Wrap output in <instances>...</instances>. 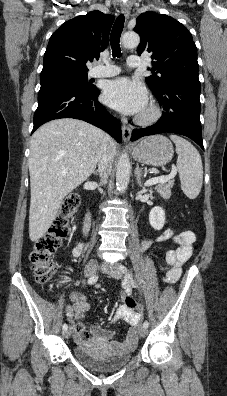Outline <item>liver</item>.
<instances>
[{
    "instance_id": "6515ba94",
    "label": "liver",
    "mask_w": 227,
    "mask_h": 396,
    "mask_svg": "<svg viewBox=\"0 0 227 396\" xmlns=\"http://www.w3.org/2000/svg\"><path fill=\"white\" fill-rule=\"evenodd\" d=\"M106 134L73 118L50 121L31 138L29 238L38 241L53 223L63 199L93 173ZM113 155L116 142L108 141Z\"/></svg>"
}]
</instances>
